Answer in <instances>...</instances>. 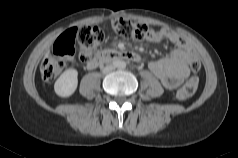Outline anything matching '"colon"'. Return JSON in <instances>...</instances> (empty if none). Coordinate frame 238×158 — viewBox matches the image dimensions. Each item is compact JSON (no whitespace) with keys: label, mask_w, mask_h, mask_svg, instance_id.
<instances>
[{"label":"colon","mask_w":238,"mask_h":158,"mask_svg":"<svg viewBox=\"0 0 238 158\" xmlns=\"http://www.w3.org/2000/svg\"><path fill=\"white\" fill-rule=\"evenodd\" d=\"M112 29L120 36L128 39H144L158 33L153 27L125 18H114L111 21ZM103 32L97 27L80 26L74 27L63 33L55 42L53 53L46 58L41 65L43 80L50 82L54 80L65 68L68 59L78 52L81 61H88L94 50L103 42ZM193 73H198L200 63L195 60L190 64ZM198 88L196 76L188 79L177 91L176 98L179 101L189 99Z\"/></svg>","instance_id":"colon-1"}]
</instances>
